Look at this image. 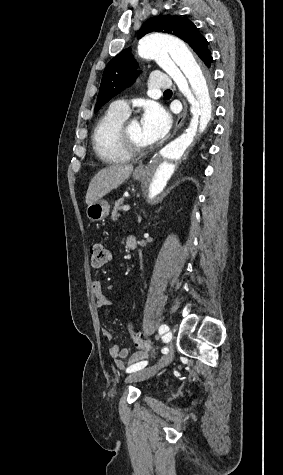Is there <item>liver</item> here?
<instances>
[{
	"instance_id": "obj_1",
	"label": "liver",
	"mask_w": 283,
	"mask_h": 475,
	"mask_svg": "<svg viewBox=\"0 0 283 475\" xmlns=\"http://www.w3.org/2000/svg\"><path fill=\"white\" fill-rule=\"evenodd\" d=\"M131 172H133L132 164H112L104 170H100L94 178H92L86 194V204H94L101 200L103 196L109 194L111 190H116L120 184L128 180Z\"/></svg>"
}]
</instances>
